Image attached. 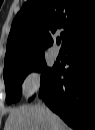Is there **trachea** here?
Returning <instances> with one entry per match:
<instances>
[{"mask_svg":"<svg viewBox=\"0 0 95 130\" xmlns=\"http://www.w3.org/2000/svg\"><path fill=\"white\" fill-rule=\"evenodd\" d=\"M57 44H60V39H57Z\"/></svg>","mask_w":95,"mask_h":130,"instance_id":"3493384b","label":"trachea"}]
</instances>
